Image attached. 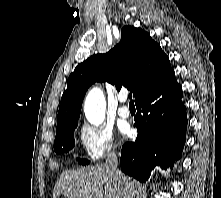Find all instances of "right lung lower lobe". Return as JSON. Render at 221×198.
Instances as JSON below:
<instances>
[{
    "instance_id": "98d812e1",
    "label": "right lung lower lobe",
    "mask_w": 221,
    "mask_h": 198,
    "mask_svg": "<svg viewBox=\"0 0 221 198\" xmlns=\"http://www.w3.org/2000/svg\"><path fill=\"white\" fill-rule=\"evenodd\" d=\"M182 89L173 70L136 100L135 142L122 146L124 173L145 182L156 165L173 168L186 140L187 115Z\"/></svg>"
}]
</instances>
